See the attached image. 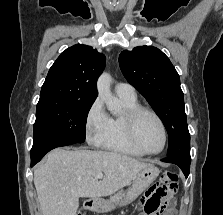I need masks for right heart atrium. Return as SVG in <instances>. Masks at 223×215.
<instances>
[{
	"instance_id": "obj_1",
	"label": "right heart atrium",
	"mask_w": 223,
	"mask_h": 215,
	"mask_svg": "<svg viewBox=\"0 0 223 215\" xmlns=\"http://www.w3.org/2000/svg\"><path fill=\"white\" fill-rule=\"evenodd\" d=\"M109 126V116L100 99H95L85 118V129L91 132V141L99 142Z\"/></svg>"
}]
</instances>
